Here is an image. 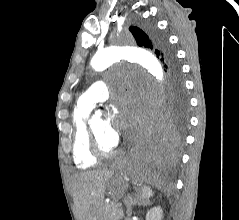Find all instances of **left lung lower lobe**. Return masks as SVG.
Returning a JSON list of instances; mask_svg holds the SVG:
<instances>
[{
  "label": "left lung lower lobe",
  "mask_w": 239,
  "mask_h": 220,
  "mask_svg": "<svg viewBox=\"0 0 239 220\" xmlns=\"http://www.w3.org/2000/svg\"><path fill=\"white\" fill-rule=\"evenodd\" d=\"M180 131L169 121L159 138L146 147L136 160V168L144 174L161 173L178 158Z\"/></svg>",
  "instance_id": "left-lung-lower-lobe-1"
}]
</instances>
